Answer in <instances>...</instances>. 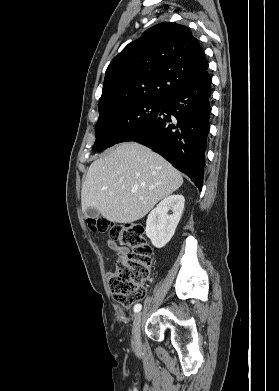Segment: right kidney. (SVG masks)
<instances>
[{
    "label": "right kidney",
    "instance_id": "ca27d5eb",
    "mask_svg": "<svg viewBox=\"0 0 279 391\" xmlns=\"http://www.w3.org/2000/svg\"><path fill=\"white\" fill-rule=\"evenodd\" d=\"M185 198L174 194L164 198L148 215L146 235L156 248L164 247L172 238L181 219ZM172 214H168L169 211Z\"/></svg>",
    "mask_w": 279,
    "mask_h": 391
}]
</instances>
